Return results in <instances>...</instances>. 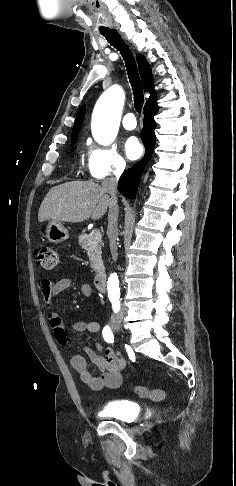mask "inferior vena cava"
Returning <instances> with one entry per match:
<instances>
[{"label": "inferior vena cava", "instance_id": "1", "mask_svg": "<svg viewBox=\"0 0 236 486\" xmlns=\"http://www.w3.org/2000/svg\"><path fill=\"white\" fill-rule=\"evenodd\" d=\"M125 166V161H118L115 164V170L113 171V175L110 178H105L102 181V187L105 188L107 192L111 195L109 203L107 234L109 237L111 255L114 261L117 260L118 256L116 239L118 235L117 219L119 208L117 205L116 190L119 176L123 173Z\"/></svg>", "mask_w": 236, "mask_h": 486}]
</instances>
